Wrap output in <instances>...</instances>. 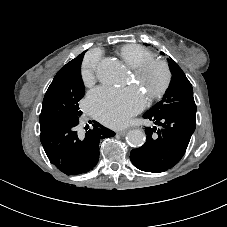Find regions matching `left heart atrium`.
<instances>
[{
    "label": "left heart atrium",
    "mask_w": 227,
    "mask_h": 227,
    "mask_svg": "<svg viewBox=\"0 0 227 227\" xmlns=\"http://www.w3.org/2000/svg\"><path fill=\"white\" fill-rule=\"evenodd\" d=\"M145 97L132 90L99 87L87 98L88 111L110 127H121L142 110Z\"/></svg>",
    "instance_id": "39dd6f15"
}]
</instances>
